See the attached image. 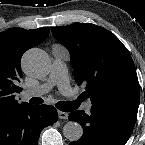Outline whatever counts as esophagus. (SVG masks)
I'll return each instance as SVG.
<instances>
[{"instance_id": "esophagus-1", "label": "esophagus", "mask_w": 145, "mask_h": 145, "mask_svg": "<svg viewBox=\"0 0 145 145\" xmlns=\"http://www.w3.org/2000/svg\"><path fill=\"white\" fill-rule=\"evenodd\" d=\"M58 117L60 119H68V113L62 112V111H58Z\"/></svg>"}]
</instances>
